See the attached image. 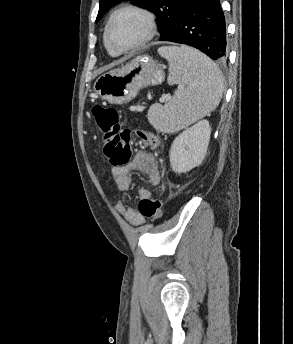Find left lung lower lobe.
Wrapping results in <instances>:
<instances>
[{
  "label": "left lung lower lobe",
  "instance_id": "left-lung-lower-lobe-1",
  "mask_svg": "<svg viewBox=\"0 0 293 344\" xmlns=\"http://www.w3.org/2000/svg\"><path fill=\"white\" fill-rule=\"evenodd\" d=\"M160 41L195 47L213 60H225V18L219 0H186Z\"/></svg>",
  "mask_w": 293,
  "mask_h": 344
}]
</instances>
